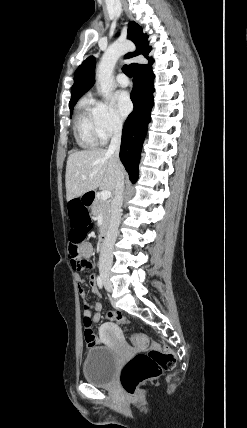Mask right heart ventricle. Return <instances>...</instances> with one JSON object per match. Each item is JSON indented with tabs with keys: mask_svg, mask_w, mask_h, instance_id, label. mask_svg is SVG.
I'll return each mask as SVG.
<instances>
[{
	"mask_svg": "<svg viewBox=\"0 0 247 428\" xmlns=\"http://www.w3.org/2000/svg\"><path fill=\"white\" fill-rule=\"evenodd\" d=\"M74 133L77 143L83 148H93L98 145V135L96 133L92 105L83 102L74 119Z\"/></svg>",
	"mask_w": 247,
	"mask_h": 428,
	"instance_id": "e07e8e85",
	"label": "right heart ventricle"
}]
</instances>
